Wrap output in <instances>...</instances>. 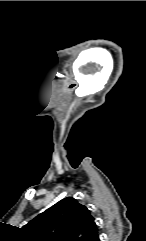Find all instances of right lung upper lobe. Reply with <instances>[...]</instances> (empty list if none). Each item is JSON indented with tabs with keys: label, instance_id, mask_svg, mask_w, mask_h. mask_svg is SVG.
<instances>
[{
	"label": "right lung upper lobe",
	"instance_id": "right-lung-upper-lobe-1",
	"mask_svg": "<svg viewBox=\"0 0 146 241\" xmlns=\"http://www.w3.org/2000/svg\"><path fill=\"white\" fill-rule=\"evenodd\" d=\"M30 241H100L90 211L67 197L24 226Z\"/></svg>",
	"mask_w": 146,
	"mask_h": 241
}]
</instances>
